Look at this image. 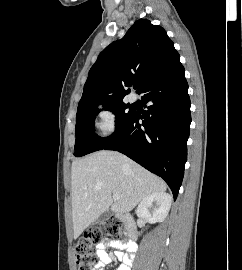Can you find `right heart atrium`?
<instances>
[{"label":"right heart atrium","mask_w":242,"mask_h":270,"mask_svg":"<svg viewBox=\"0 0 242 270\" xmlns=\"http://www.w3.org/2000/svg\"><path fill=\"white\" fill-rule=\"evenodd\" d=\"M116 125L117 118L112 110L103 108L99 111L97 127L103 136L112 134L116 129Z\"/></svg>","instance_id":"right-heart-atrium-1"}]
</instances>
